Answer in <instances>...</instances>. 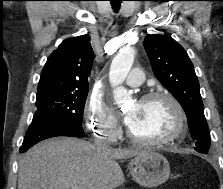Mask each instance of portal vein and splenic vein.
<instances>
[{"mask_svg":"<svg viewBox=\"0 0 223 189\" xmlns=\"http://www.w3.org/2000/svg\"><path fill=\"white\" fill-rule=\"evenodd\" d=\"M70 189H82V187L78 185H70Z\"/></svg>","mask_w":223,"mask_h":189,"instance_id":"portal-vein-and-splenic-vein-1","label":"portal vein and splenic vein"}]
</instances>
